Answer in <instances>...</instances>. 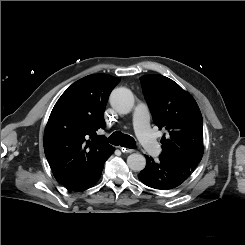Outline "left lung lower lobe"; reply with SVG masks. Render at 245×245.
<instances>
[{"instance_id": "0a47b994", "label": "left lung lower lobe", "mask_w": 245, "mask_h": 245, "mask_svg": "<svg viewBox=\"0 0 245 245\" xmlns=\"http://www.w3.org/2000/svg\"><path fill=\"white\" fill-rule=\"evenodd\" d=\"M145 157L146 167L140 171L138 179L148 187L171 190L185 182L192 173L165 158L160 157L158 161H154L152 157Z\"/></svg>"}]
</instances>
